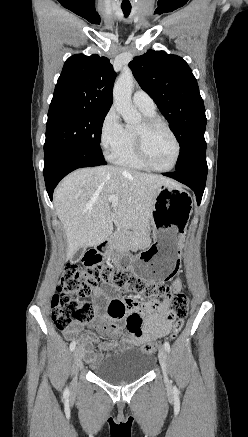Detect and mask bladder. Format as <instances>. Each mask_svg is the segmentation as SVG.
I'll return each mask as SVG.
<instances>
[{
  "label": "bladder",
  "mask_w": 248,
  "mask_h": 437,
  "mask_svg": "<svg viewBox=\"0 0 248 437\" xmlns=\"http://www.w3.org/2000/svg\"><path fill=\"white\" fill-rule=\"evenodd\" d=\"M154 362L151 353L129 349L107 358L94 373L107 383L123 385L143 378Z\"/></svg>",
  "instance_id": "1"
}]
</instances>
